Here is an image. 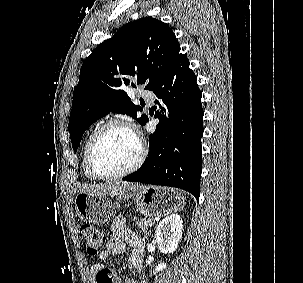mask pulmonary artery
<instances>
[{
    "label": "pulmonary artery",
    "instance_id": "pulmonary-artery-1",
    "mask_svg": "<svg viewBox=\"0 0 303 283\" xmlns=\"http://www.w3.org/2000/svg\"><path fill=\"white\" fill-rule=\"evenodd\" d=\"M142 97L145 98L148 102H153L155 99L154 93L148 90L142 91Z\"/></svg>",
    "mask_w": 303,
    "mask_h": 283
}]
</instances>
